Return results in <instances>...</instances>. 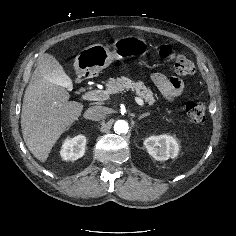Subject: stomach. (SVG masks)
<instances>
[{
    "label": "stomach",
    "mask_w": 236,
    "mask_h": 236,
    "mask_svg": "<svg viewBox=\"0 0 236 236\" xmlns=\"http://www.w3.org/2000/svg\"><path fill=\"white\" fill-rule=\"evenodd\" d=\"M112 47L111 51L102 44H94L83 49L75 58L76 73L91 77L108 67L113 60L143 56L149 52L146 40L132 35L117 38Z\"/></svg>",
    "instance_id": "obj_1"
}]
</instances>
